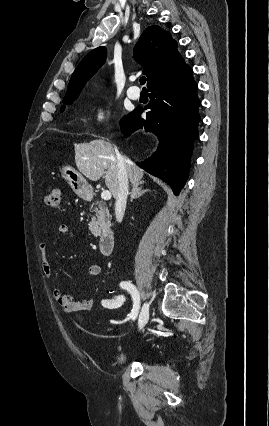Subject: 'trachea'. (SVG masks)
I'll return each mask as SVG.
<instances>
[{
  "instance_id": "trachea-1",
  "label": "trachea",
  "mask_w": 269,
  "mask_h": 426,
  "mask_svg": "<svg viewBox=\"0 0 269 426\" xmlns=\"http://www.w3.org/2000/svg\"><path fill=\"white\" fill-rule=\"evenodd\" d=\"M145 82H146V78H145V77H141V78H140V84H141V85H144V84H145Z\"/></svg>"
}]
</instances>
